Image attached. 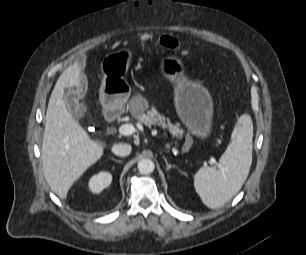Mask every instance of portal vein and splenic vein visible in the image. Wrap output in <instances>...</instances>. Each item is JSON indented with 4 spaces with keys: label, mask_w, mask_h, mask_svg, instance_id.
Returning a JSON list of instances; mask_svg holds the SVG:
<instances>
[{
    "label": "portal vein and splenic vein",
    "mask_w": 306,
    "mask_h": 255,
    "mask_svg": "<svg viewBox=\"0 0 306 255\" xmlns=\"http://www.w3.org/2000/svg\"><path fill=\"white\" fill-rule=\"evenodd\" d=\"M118 132H119V134H121L123 136H128V135H131L135 132V128L132 124H123L118 128ZM210 162L212 164L217 163L216 160L213 157L210 158ZM218 166H220V165L218 164Z\"/></svg>",
    "instance_id": "18ae733b"
}]
</instances>
